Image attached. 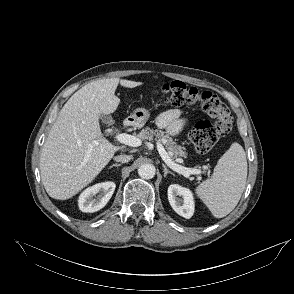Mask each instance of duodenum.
<instances>
[{
  "instance_id": "410a0bca",
  "label": "duodenum",
  "mask_w": 294,
  "mask_h": 294,
  "mask_svg": "<svg viewBox=\"0 0 294 294\" xmlns=\"http://www.w3.org/2000/svg\"><path fill=\"white\" fill-rule=\"evenodd\" d=\"M134 124V119L133 118H127L124 120L123 125L125 128H130Z\"/></svg>"
}]
</instances>
